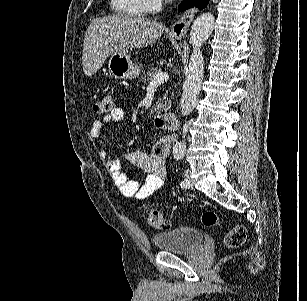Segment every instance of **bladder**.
Here are the masks:
<instances>
[{
	"instance_id": "31cf9c89",
	"label": "bladder",
	"mask_w": 307,
	"mask_h": 301,
	"mask_svg": "<svg viewBox=\"0 0 307 301\" xmlns=\"http://www.w3.org/2000/svg\"><path fill=\"white\" fill-rule=\"evenodd\" d=\"M152 240L158 250L185 253L200 246L204 241V235L198 229L181 227L152 236Z\"/></svg>"
}]
</instances>
